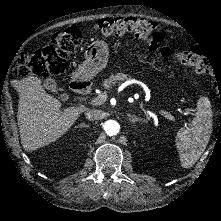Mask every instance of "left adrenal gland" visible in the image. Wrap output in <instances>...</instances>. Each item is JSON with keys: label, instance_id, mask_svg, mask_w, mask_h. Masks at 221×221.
Instances as JSON below:
<instances>
[{"label": "left adrenal gland", "instance_id": "a2214340", "mask_svg": "<svg viewBox=\"0 0 221 221\" xmlns=\"http://www.w3.org/2000/svg\"><path fill=\"white\" fill-rule=\"evenodd\" d=\"M128 117H129V121L130 122H136V121H141L142 119L141 118H138L136 115H130L128 114Z\"/></svg>", "mask_w": 221, "mask_h": 221}]
</instances>
